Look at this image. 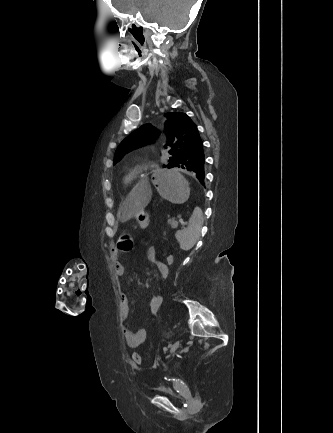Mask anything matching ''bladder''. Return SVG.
I'll return each mask as SVG.
<instances>
[{
    "mask_svg": "<svg viewBox=\"0 0 333 433\" xmlns=\"http://www.w3.org/2000/svg\"><path fill=\"white\" fill-rule=\"evenodd\" d=\"M156 389L160 394L164 396L170 397L175 400L181 399V396L179 394H177L175 391H173L171 388H169L166 385H160Z\"/></svg>",
    "mask_w": 333,
    "mask_h": 433,
    "instance_id": "31cf9c89",
    "label": "bladder"
}]
</instances>
